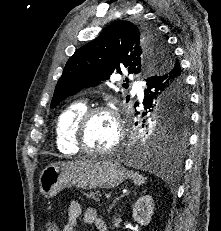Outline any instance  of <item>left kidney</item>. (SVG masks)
I'll return each instance as SVG.
<instances>
[{
	"mask_svg": "<svg viewBox=\"0 0 221 231\" xmlns=\"http://www.w3.org/2000/svg\"><path fill=\"white\" fill-rule=\"evenodd\" d=\"M132 210L133 219L141 226H147L150 223L151 217L154 213V203L152 197L150 195L140 197L133 205Z\"/></svg>",
	"mask_w": 221,
	"mask_h": 231,
	"instance_id": "left-kidney-1",
	"label": "left kidney"
}]
</instances>
